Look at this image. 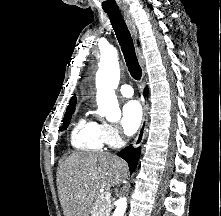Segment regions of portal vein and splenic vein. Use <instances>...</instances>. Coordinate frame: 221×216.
<instances>
[{
  "label": "portal vein and splenic vein",
  "mask_w": 221,
  "mask_h": 216,
  "mask_svg": "<svg viewBox=\"0 0 221 216\" xmlns=\"http://www.w3.org/2000/svg\"><path fill=\"white\" fill-rule=\"evenodd\" d=\"M103 197H105V199L108 198V197H110V193H109V192L104 193V196H103Z\"/></svg>",
  "instance_id": "portal-vein-and-splenic-vein-1"
}]
</instances>
